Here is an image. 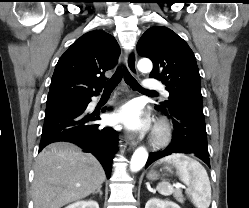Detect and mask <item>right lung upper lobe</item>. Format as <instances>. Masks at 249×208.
Returning a JSON list of instances; mask_svg holds the SVG:
<instances>
[{"label":"right lung upper lobe","instance_id":"cb5924a9","mask_svg":"<svg viewBox=\"0 0 249 208\" xmlns=\"http://www.w3.org/2000/svg\"><path fill=\"white\" fill-rule=\"evenodd\" d=\"M120 54L115 38L93 30L78 38L60 57L52 76L47 105L80 101L98 95Z\"/></svg>","mask_w":249,"mask_h":208}]
</instances>
